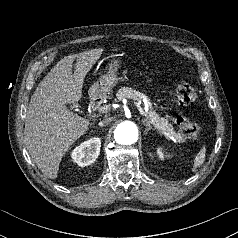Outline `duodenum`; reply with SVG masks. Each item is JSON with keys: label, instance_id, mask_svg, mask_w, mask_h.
<instances>
[{"label": "duodenum", "instance_id": "obj_1", "mask_svg": "<svg viewBox=\"0 0 238 238\" xmlns=\"http://www.w3.org/2000/svg\"><path fill=\"white\" fill-rule=\"evenodd\" d=\"M101 102V97L98 95H93L92 96V100H91V104L93 108H97L99 106Z\"/></svg>", "mask_w": 238, "mask_h": 238}]
</instances>
